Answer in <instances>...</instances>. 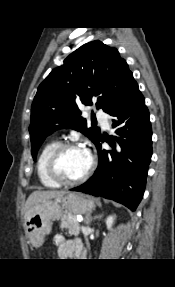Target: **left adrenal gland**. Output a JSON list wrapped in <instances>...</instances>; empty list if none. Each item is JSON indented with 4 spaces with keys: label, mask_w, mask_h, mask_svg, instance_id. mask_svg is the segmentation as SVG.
Returning <instances> with one entry per match:
<instances>
[{
    "label": "left adrenal gland",
    "mask_w": 175,
    "mask_h": 287,
    "mask_svg": "<svg viewBox=\"0 0 175 287\" xmlns=\"http://www.w3.org/2000/svg\"><path fill=\"white\" fill-rule=\"evenodd\" d=\"M102 216H103V214H102V215H97V216H95L94 218H91V213H88V214H86V216H85V223H86V224H89V223L92 222V220H94V219H96V218H101Z\"/></svg>",
    "instance_id": "obj_1"
}]
</instances>
